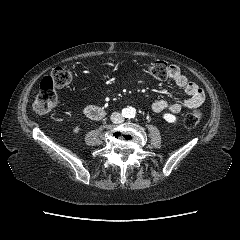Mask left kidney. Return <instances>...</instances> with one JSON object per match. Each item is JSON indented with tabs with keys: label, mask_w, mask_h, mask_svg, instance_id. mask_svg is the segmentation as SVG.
<instances>
[{
	"label": "left kidney",
	"mask_w": 240,
	"mask_h": 240,
	"mask_svg": "<svg viewBox=\"0 0 240 240\" xmlns=\"http://www.w3.org/2000/svg\"><path fill=\"white\" fill-rule=\"evenodd\" d=\"M163 118L168 122V123H176L177 119L176 116L170 113H165L163 115Z\"/></svg>",
	"instance_id": "1"
}]
</instances>
